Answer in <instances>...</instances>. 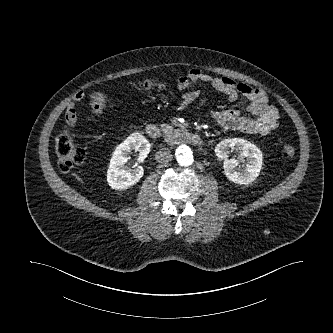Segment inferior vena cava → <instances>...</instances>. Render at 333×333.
<instances>
[{
    "mask_svg": "<svg viewBox=\"0 0 333 333\" xmlns=\"http://www.w3.org/2000/svg\"><path fill=\"white\" fill-rule=\"evenodd\" d=\"M155 157L158 163H167L171 161L172 154L170 150L162 148L156 153Z\"/></svg>",
    "mask_w": 333,
    "mask_h": 333,
    "instance_id": "1",
    "label": "inferior vena cava"
}]
</instances>
